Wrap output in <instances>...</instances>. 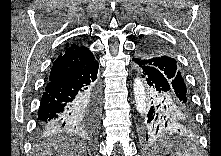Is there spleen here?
<instances>
[{"label":"spleen","mask_w":221,"mask_h":156,"mask_svg":"<svg viewBox=\"0 0 221 156\" xmlns=\"http://www.w3.org/2000/svg\"><path fill=\"white\" fill-rule=\"evenodd\" d=\"M181 155H183V156H191V155H190L189 153H187V152H182Z\"/></svg>","instance_id":"obj_1"}]
</instances>
